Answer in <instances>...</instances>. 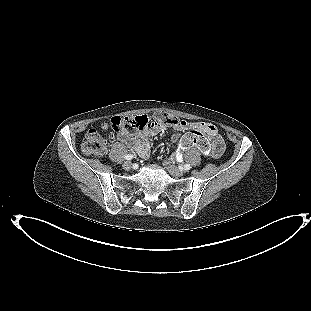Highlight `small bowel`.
Segmentation results:
<instances>
[{
  "instance_id": "c3829d8e",
  "label": "small bowel",
  "mask_w": 311,
  "mask_h": 311,
  "mask_svg": "<svg viewBox=\"0 0 311 311\" xmlns=\"http://www.w3.org/2000/svg\"><path fill=\"white\" fill-rule=\"evenodd\" d=\"M176 133L172 135V141L175 143H182L179 132L191 128L198 129L206 133L211 140V148L205 153L210 154L213 158H219L224 150V142L221 135L218 132L216 126L208 122H190L186 124L185 127L173 126ZM167 129L164 125L151 126L143 132L138 133L134 138L128 136L127 134L119 135V140L127 143L128 147L137 153L139 156L146 158L150 154V144L149 138L154 137L160 133H163ZM178 155L180 152L178 151Z\"/></svg>"
}]
</instances>
